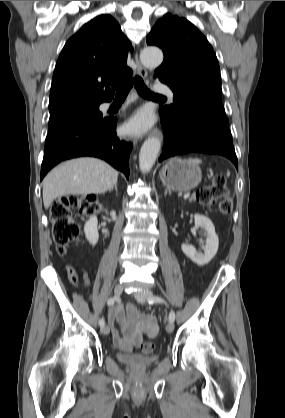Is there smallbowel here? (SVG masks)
I'll return each mask as SVG.
<instances>
[{"label": "small bowel", "mask_w": 285, "mask_h": 418, "mask_svg": "<svg viewBox=\"0 0 285 418\" xmlns=\"http://www.w3.org/2000/svg\"><path fill=\"white\" fill-rule=\"evenodd\" d=\"M67 276L74 284L80 280V275L73 266L68 268ZM83 279L88 282L86 276ZM110 320L112 322L117 320L123 327L125 336H121L115 328H112V339L114 345L124 351L139 348L143 336L153 338L159 332L157 320L151 315L139 312L133 304L126 306V314L119 306L115 307L110 311Z\"/></svg>", "instance_id": "small-bowel-1"}]
</instances>
